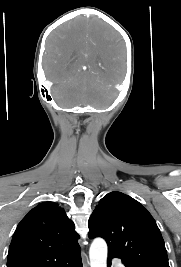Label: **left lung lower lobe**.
Segmentation results:
<instances>
[{"label": "left lung lower lobe", "instance_id": "0a47b994", "mask_svg": "<svg viewBox=\"0 0 181 267\" xmlns=\"http://www.w3.org/2000/svg\"><path fill=\"white\" fill-rule=\"evenodd\" d=\"M115 257H117L118 258V256L116 255V254H114L113 252H109L108 251V267H111V259H113V258H115ZM125 265V264H124ZM126 267H130V266H128V265H125Z\"/></svg>", "mask_w": 181, "mask_h": 267}]
</instances>
